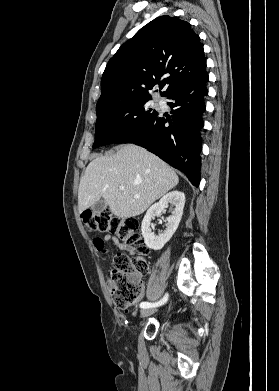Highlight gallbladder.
I'll return each instance as SVG.
<instances>
[{"mask_svg":"<svg viewBox=\"0 0 279 391\" xmlns=\"http://www.w3.org/2000/svg\"><path fill=\"white\" fill-rule=\"evenodd\" d=\"M106 207H107L106 202L104 200H99L91 207V211L94 214H98L104 211Z\"/></svg>","mask_w":279,"mask_h":391,"instance_id":"bac80fb5","label":"gallbladder"}]
</instances>
